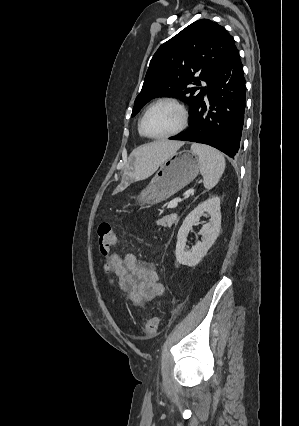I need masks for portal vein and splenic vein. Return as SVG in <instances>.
<instances>
[{"label":"portal vein and splenic vein","mask_w":299,"mask_h":426,"mask_svg":"<svg viewBox=\"0 0 299 426\" xmlns=\"http://www.w3.org/2000/svg\"><path fill=\"white\" fill-rule=\"evenodd\" d=\"M178 198H176V199H174V200H172L170 203H169V207L170 208H175L176 206H177V204H178Z\"/></svg>","instance_id":"1"}]
</instances>
